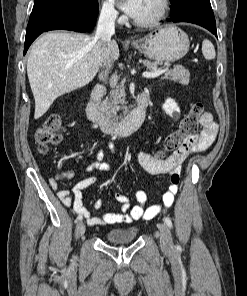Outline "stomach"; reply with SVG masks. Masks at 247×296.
Here are the masks:
<instances>
[{"label": "stomach", "instance_id": "stomach-1", "mask_svg": "<svg viewBox=\"0 0 247 296\" xmlns=\"http://www.w3.org/2000/svg\"><path fill=\"white\" fill-rule=\"evenodd\" d=\"M189 45L188 35L174 25L151 32L133 43L136 49L159 63L180 60L187 54Z\"/></svg>", "mask_w": 247, "mask_h": 296}]
</instances>
